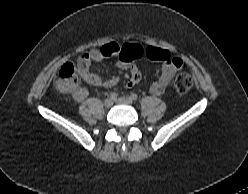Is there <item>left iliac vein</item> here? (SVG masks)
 <instances>
[{
  "mask_svg": "<svg viewBox=\"0 0 248 194\" xmlns=\"http://www.w3.org/2000/svg\"><path fill=\"white\" fill-rule=\"evenodd\" d=\"M115 102L122 105H131L133 103L132 99L129 97H119Z\"/></svg>",
  "mask_w": 248,
  "mask_h": 194,
  "instance_id": "1",
  "label": "left iliac vein"
}]
</instances>
